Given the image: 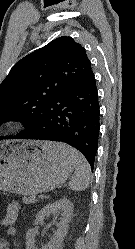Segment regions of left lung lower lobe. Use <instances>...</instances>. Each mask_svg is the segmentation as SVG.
I'll list each match as a JSON object with an SVG mask.
<instances>
[{"label":"left lung lower lobe","instance_id":"left-lung-lower-lobe-1","mask_svg":"<svg viewBox=\"0 0 135 249\" xmlns=\"http://www.w3.org/2000/svg\"><path fill=\"white\" fill-rule=\"evenodd\" d=\"M100 106L93 71L67 88L43 113L38 127L19 139L65 142L94 168L100 129Z\"/></svg>","mask_w":135,"mask_h":249}]
</instances>
